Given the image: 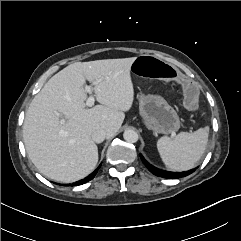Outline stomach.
I'll use <instances>...</instances> for the list:
<instances>
[{"mask_svg": "<svg viewBox=\"0 0 241 241\" xmlns=\"http://www.w3.org/2000/svg\"><path fill=\"white\" fill-rule=\"evenodd\" d=\"M139 112L144 125L155 134H171L181 122L175 109L159 95H140Z\"/></svg>", "mask_w": 241, "mask_h": 241, "instance_id": "0dacf381", "label": "stomach"}]
</instances>
